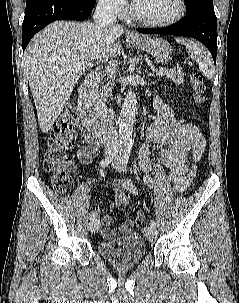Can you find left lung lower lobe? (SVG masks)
Listing matches in <instances>:
<instances>
[{"label":"left lung lower lobe","instance_id":"left-lung-lower-lobe-1","mask_svg":"<svg viewBox=\"0 0 239 303\" xmlns=\"http://www.w3.org/2000/svg\"><path fill=\"white\" fill-rule=\"evenodd\" d=\"M137 31L145 34H172L192 37L202 42L211 52L216 62V16L212 6H202L180 20L175 25L165 28H138Z\"/></svg>","mask_w":239,"mask_h":303}]
</instances>
